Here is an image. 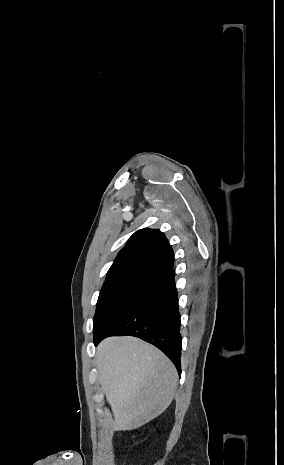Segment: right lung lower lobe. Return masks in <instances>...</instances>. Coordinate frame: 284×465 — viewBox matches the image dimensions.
<instances>
[{"label": "right lung lower lobe", "instance_id": "98d812e1", "mask_svg": "<svg viewBox=\"0 0 284 465\" xmlns=\"http://www.w3.org/2000/svg\"><path fill=\"white\" fill-rule=\"evenodd\" d=\"M173 270L164 274L94 338L135 336L164 352L181 374L180 314Z\"/></svg>", "mask_w": 284, "mask_h": 465}]
</instances>
